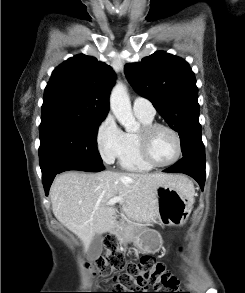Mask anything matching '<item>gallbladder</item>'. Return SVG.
<instances>
[{
    "label": "gallbladder",
    "mask_w": 245,
    "mask_h": 293,
    "mask_svg": "<svg viewBox=\"0 0 245 293\" xmlns=\"http://www.w3.org/2000/svg\"><path fill=\"white\" fill-rule=\"evenodd\" d=\"M103 248V237L101 234H95L87 251V259L91 262L99 258Z\"/></svg>",
    "instance_id": "bac80fb5"
}]
</instances>
